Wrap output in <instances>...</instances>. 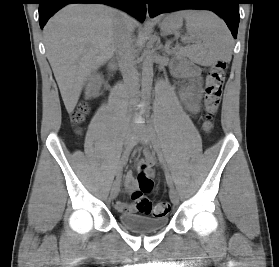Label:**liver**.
<instances>
[{
    "instance_id": "liver-1",
    "label": "liver",
    "mask_w": 279,
    "mask_h": 267,
    "mask_svg": "<svg viewBox=\"0 0 279 267\" xmlns=\"http://www.w3.org/2000/svg\"><path fill=\"white\" fill-rule=\"evenodd\" d=\"M121 19V11L102 4H72L44 27L47 58L69 114L91 72L113 57ZM128 22L134 29L136 21L129 17Z\"/></svg>"
}]
</instances>
